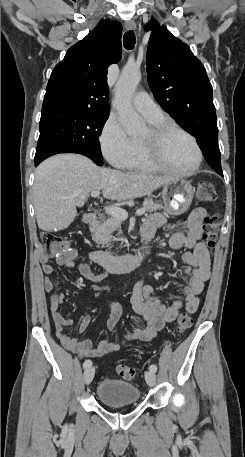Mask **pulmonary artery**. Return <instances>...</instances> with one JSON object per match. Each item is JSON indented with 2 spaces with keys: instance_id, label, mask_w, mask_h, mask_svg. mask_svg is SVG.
Wrapping results in <instances>:
<instances>
[{
  "instance_id": "pulmonary-artery-1",
  "label": "pulmonary artery",
  "mask_w": 245,
  "mask_h": 457,
  "mask_svg": "<svg viewBox=\"0 0 245 457\" xmlns=\"http://www.w3.org/2000/svg\"><path fill=\"white\" fill-rule=\"evenodd\" d=\"M134 108L148 120H154L162 116L161 108L150 100L149 93H136L132 98Z\"/></svg>"
}]
</instances>
